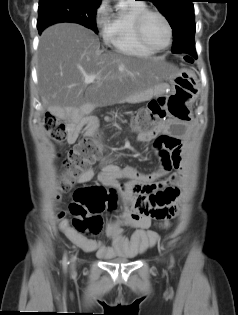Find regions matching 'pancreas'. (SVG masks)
<instances>
[{
	"mask_svg": "<svg viewBox=\"0 0 238 315\" xmlns=\"http://www.w3.org/2000/svg\"><path fill=\"white\" fill-rule=\"evenodd\" d=\"M134 98H138L139 96L138 95H135V96H133Z\"/></svg>",
	"mask_w": 238,
	"mask_h": 315,
	"instance_id": "obj_1",
	"label": "pancreas"
}]
</instances>
